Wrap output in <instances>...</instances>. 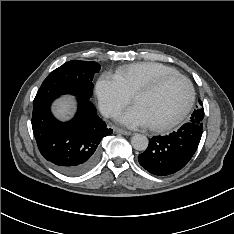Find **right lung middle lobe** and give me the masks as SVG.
<instances>
[{"label":"right lung middle lobe","instance_id":"obj_1","mask_svg":"<svg viewBox=\"0 0 234 234\" xmlns=\"http://www.w3.org/2000/svg\"><path fill=\"white\" fill-rule=\"evenodd\" d=\"M99 70L100 65L97 62L80 60L66 62L43 81L33 101V107L63 94L90 100L93 91L92 80Z\"/></svg>","mask_w":234,"mask_h":234}]
</instances>
